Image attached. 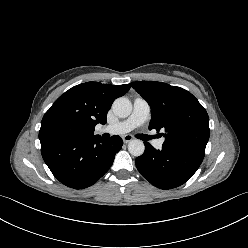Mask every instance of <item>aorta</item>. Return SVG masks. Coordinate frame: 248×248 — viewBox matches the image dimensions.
Here are the masks:
<instances>
[{"label":"aorta","instance_id":"obj_1","mask_svg":"<svg viewBox=\"0 0 248 248\" xmlns=\"http://www.w3.org/2000/svg\"><path fill=\"white\" fill-rule=\"evenodd\" d=\"M113 112L120 118L128 117L132 112V103L125 97L117 98L112 105ZM144 143L139 139L131 140L128 144V151L133 156H141L144 153Z\"/></svg>","mask_w":248,"mask_h":248}]
</instances>
